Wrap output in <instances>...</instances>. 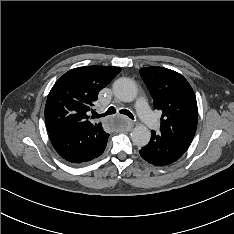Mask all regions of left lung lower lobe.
I'll return each mask as SVG.
<instances>
[{
  "label": "left lung lower lobe",
  "instance_id": "left-lung-lower-lobe-1",
  "mask_svg": "<svg viewBox=\"0 0 234 234\" xmlns=\"http://www.w3.org/2000/svg\"><path fill=\"white\" fill-rule=\"evenodd\" d=\"M139 152L147 162L156 166H164L178 160L185 150L165 135L151 131L150 142Z\"/></svg>",
  "mask_w": 234,
  "mask_h": 234
}]
</instances>
